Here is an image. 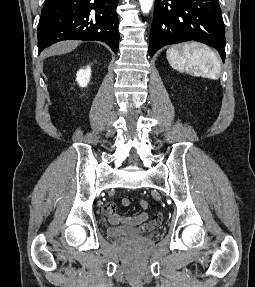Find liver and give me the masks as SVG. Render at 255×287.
<instances>
[{
	"instance_id": "liver-1",
	"label": "liver",
	"mask_w": 255,
	"mask_h": 287,
	"mask_svg": "<svg viewBox=\"0 0 255 287\" xmlns=\"http://www.w3.org/2000/svg\"><path fill=\"white\" fill-rule=\"evenodd\" d=\"M80 42H59V44H54L45 52H42V56H61V54H68V52H72L77 48Z\"/></svg>"
}]
</instances>
